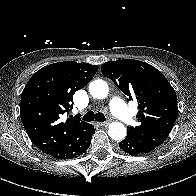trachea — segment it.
I'll return each instance as SVG.
<instances>
[{
    "label": "trachea",
    "instance_id": "3493384b",
    "mask_svg": "<svg viewBox=\"0 0 196 196\" xmlns=\"http://www.w3.org/2000/svg\"><path fill=\"white\" fill-rule=\"evenodd\" d=\"M84 121H87V122H91V121H99V122H104L106 120L105 116L103 113H94L93 111H89L87 112L83 118H82Z\"/></svg>",
    "mask_w": 196,
    "mask_h": 196
}]
</instances>
